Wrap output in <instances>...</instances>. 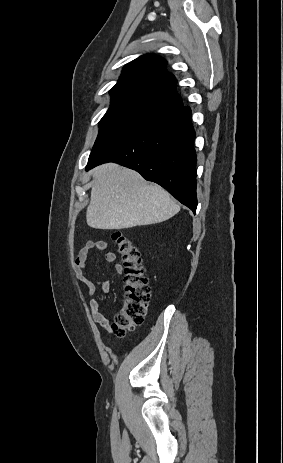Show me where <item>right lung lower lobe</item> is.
Returning a JSON list of instances; mask_svg holds the SVG:
<instances>
[{"label": "right lung lower lobe", "mask_w": 283, "mask_h": 463, "mask_svg": "<svg viewBox=\"0 0 283 463\" xmlns=\"http://www.w3.org/2000/svg\"><path fill=\"white\" fill-rule=\"evenodd\" d=\"M190 121L191 110L183 105L163 113L90 156L86 170L119 163L164 187L195 213L197 159Z\"/></svg>", "instance_id": "right-lung-lower-lobe-1"}]
</instances>
